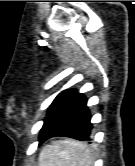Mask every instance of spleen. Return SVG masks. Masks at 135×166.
<instances>
[{"label":"spleen","instance_id":"1","mask_svg":"<svg viewBox=\"0 0 135 166\" xmlns=\"http://www.w3.org/2000/svg\"><path fill=\"white\" fill-rule=\"evenodd\" d=\"M93 163L90 149L70 139L53 141L39 155V166H92Z\"/></svg>","mask_w":135,"mask_h":166}]
</instances>
